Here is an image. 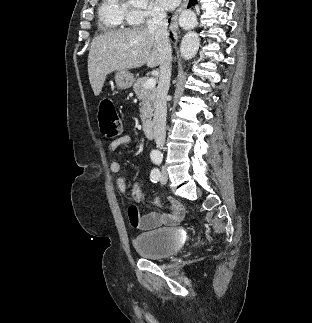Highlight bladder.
Here are the masks:
<instances>
[{
	"label": "bladder",
	"instance_id": "obj_1",
	"mask_svg": "<svg viewBox=\"0 0 312 323\" xmlns=\"http://www.w3.org/2000/svg\"><path fill=\"white\" fill-rule=\"evenodd\" d=\"M134 247L140 257L161 259L174 256L179 248V239L175 228L157 229L134 237Z\"/></svg>",
	"mask_w": 312,
	"mask_h": 323
}]
</instances>
